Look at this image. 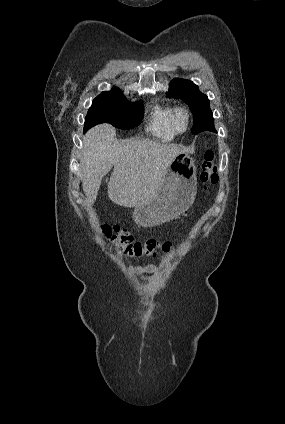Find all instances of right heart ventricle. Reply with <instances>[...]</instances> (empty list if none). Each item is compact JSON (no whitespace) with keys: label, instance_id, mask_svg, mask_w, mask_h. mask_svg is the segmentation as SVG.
I'll return each mask as SVG.
<instances>
[{"label":"right heart ventricle","instance_id":"right-heart-ventricle-1","mask_svg":"<svg viewBox=\"0 0 285 424\" xmlns=\"http://www.w3.org/2000/svg\"><path fill=\"white\" fill-rule=\"evenodd\" d=\"M174 110L170 105H157L155 106L150 123L148 125L149 131L163 140H171L177 134L171 124V116Z\"/></svg>","mask_w":285,"mask_h":424}]
</instances>
